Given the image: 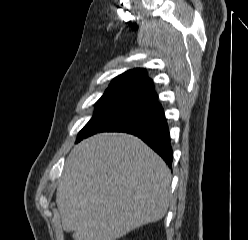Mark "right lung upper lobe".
I'll list each match as a JSON object with an SVG mask.
<instances>
[{"label": "right lung upper lobe", "instance_id": "obj_1", "mask_svg": "<svg viewBox=\"0 0 248 240\" xmlns=\"http://www.w3.org/2000/svg\"><path fill=\"white\" fill-rule=\"evenodd\" d=\"M106 92L132 97L139 101L156 97L153 81L148 78L144 69L128 70L113 79Z\"/></svg>", "mask_w": 248, "mask_h": 240}]
</instances>
